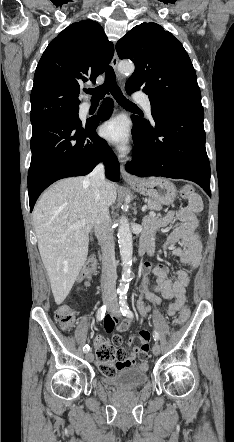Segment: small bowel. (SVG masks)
I'll return each mask as SVG.
<instances>
[{"label": "small bowel", "instance_id": "c3829d8e", "mask_svg": "<svg viewBox=\"0 0 234 442\" xmlns=\"http://www.w3.org/2000/svg\"><path fill=\"white\" fill-rule=\"evenodd\" d=\"M203 209V204L200 197L197 195L195 199L190 200L189 205L181 207L175 211L169 212L165 216H150L144 222L145 234L149 241L150 247L148 255L155 257L165 253L167 250H172V255L175 256L181 263L194 269L198 266L201 256V237L199 232V214ZM176 223L177 226L169 233L166 241L161 248L157 249L154 244V237L157 231L169 224ZM180 243L181 247H176V244ZM142 281L140 285V292L142 296L152 302H159L160 298L152 294L149 290L150 275L156 276L154 284V291L162 296L164 299L172 300L166 306V315L173 316L179 311L186 302L185 291L189 284V275L186 270H177L174 274V278L171 279L168 276L167 267L164 264H153L150 261L145 262L142 265ZM137 309L142 314H149L151 308L145 303L143 299L137 302ZM103 328H107L108 332H111L113 328L117 326V319L111 316L106 317L102 321ZM129 327V321L125 320L118 324L117 331H114L111 345L119 347L122 343L121 334L125 332ZM120 332V333H119ZM141 341L140 347H135L132 352L127 356V368L133 369L136 363V359L142 362L149 357V341L150 333L147 331H141L138 335ZM134 337L128 339V345L130 346ZM96 345L98 346L102 342H106L103 338L96 339ZM124 350V349H123Z\"/></svg>", "mask_w": 234, "mask_h": 442}]
</instances>
